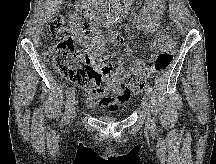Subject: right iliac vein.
<instances>
[{"instance_id":"right-iliac-vein-1","label":"right iliac vein","mask_w":216,"mask_h":164,"mask_svg":"<svg viewBox=\"0 0 216 164\" xmlns=\"http://www.w3.org/2000/svg\"><path fill=\"white\" fill-rule=\"evenodd\" d=\"M75 105H76V101L75 99L73 98L72 101H71V104H70V107H71V117H75Z\"/></svg>"}]
</instances>
